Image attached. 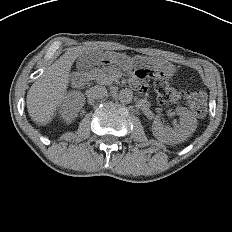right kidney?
Wrapping results in <instances>:
<instances>
[{
    "mask_svg": "<svg viewBox=\"0 0 232 232\" xmlns=\"http://www.w3.org/2000/svg\"><path fill=\"white\" fill-rule=\"evenodd\" d=\"M55 113L58 118L66 123H71L78 114L75 101L70 93H65L55 104Z\"/></svg>",
    "mask_w": 232,
    "mask_h": 232,
    "instance_id": "obj_1",
    "label": "right kidney"
}]
</instances>
